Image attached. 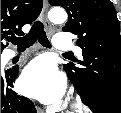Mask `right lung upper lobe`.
<instances>
[{
  "label": "right lung upper lobe",
  "instance_id": "obj_1",
  "mask_svg": "<svg viewBox=\"0 0 121 113\" xmlns=\"http://www.w3.org/2000/svg\"><path fill=\"white\" fill-rule=\"evenodd\" d=\"M42 0H1V52L7 35H22V27L31 24L40 14Z\"/></svg>",
  "mask_w": 121,
  "mask_h": 113
}]
</instances>
